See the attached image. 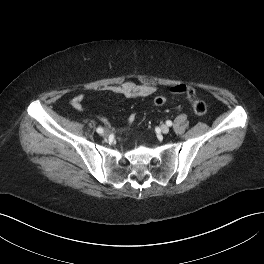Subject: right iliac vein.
I'll return each mask as SVG.
<instances>
[{
	"mask_svg": "<svg viewBox=\"0 0 264 264\" xmlns=\"http://www.w3.org/2000/svg\"><path fill=\"white\" fill-rule=\"evenodd\" d=\"M102 135H103L104 137H107V136H108V131L103 132Z\"/></svg>",
	"mask_w": 264,
	"mask_h": 264,
	"instance_id": "63e3f726",
	"label": "right iliac vein"
}]
</instances>
